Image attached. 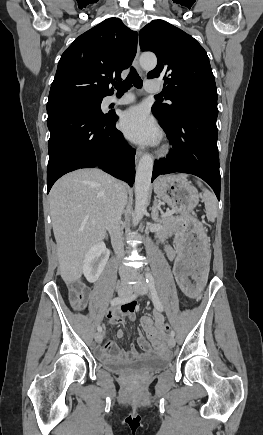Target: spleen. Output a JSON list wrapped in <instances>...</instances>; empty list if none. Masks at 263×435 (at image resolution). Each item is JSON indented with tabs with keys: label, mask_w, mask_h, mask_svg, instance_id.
<instances>
[{
	"label": "spleen",
	"mask_w": 263,
	"mask_h": 435,
	"mask_svg": "<svg viewBox=\"0 0 263 435\" xmlns=\"http://www.w3.org/2000/svg\"><path fill=\"white\" fill-rule=\"evenodd\" d=\"M179 178H186L187 175L185 174H179L178 175ZM199 186H201V182L198 181L197 182ZM203 199L205 202V208H206V215L207 218L210 221L215 220L216 215H217V201H216V197L214 196V194H212V192H210L207 189L203 190Z\"/></svg>",
	"instance_id": "1"
}]
</instances>
